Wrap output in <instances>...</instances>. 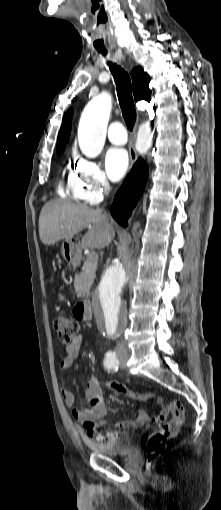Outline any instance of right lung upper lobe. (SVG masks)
Instances as JSON below:
<instances>
[{
	"label": "right lung upper lobe",
	"instance_id": "obj_1",
	"mask_svg": "<svg viewBox=\"0 0 221 510\" xmlns=\"http://www.w3.org/2000/svg\"><path fill=\"white\" fill-rule=\"evenodd\" d=\"M133 94L135 101H150L151 90L149 89L150 77L141 67L134 68L132 71ZM73 111L70 109L64 116L57 139V150L63 151L65 143L69 140L71 132V121Z\"/></svg>",
	"mask_w": 221,
	"mask_h": 510
}]
</instances>
